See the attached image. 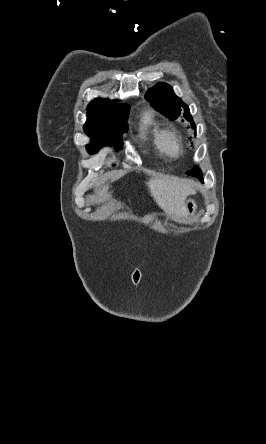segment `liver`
<instances>
[{"instance_id": "obj_1", "label": "liver", "mask_w": 266, "mask_h": 444, "mask_svg": "<svg viewBox=\"0 0 266 444\" xmlns=\"http://www.w3.org/2000/svg\"><path fill=\"white\" fill-rule=\"evenodd\" d=\"M147 186L156 203L167 214L174 217L185 216V199L195 192L187 180L174 176H161L150 179ZM106 191L107 188L96 191L99 202L107 197Z\"/></svg>"}]
</instances>
